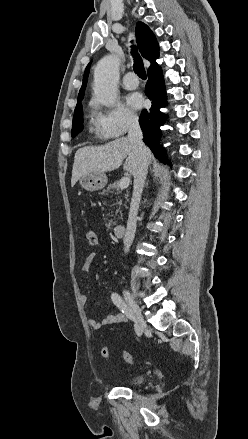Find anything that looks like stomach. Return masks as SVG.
Masks as SVG:
<instances>
[{
    "label": "stomach",
    "instance_id": "1",
    "mask_svg": "<svg viewBox=\"0 0 248 439\" xmlns=\"http://www.w3.org/2000/svg\"><path fill=\"white\" fill-rule=\"evenodd\" d=\"M107 176L104 172H90L79 179L82 188L87 191H97L107 184Z\"/></svg>",
    "mask_w": 248,
    "mask_h": 439
}]
</instances>
